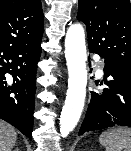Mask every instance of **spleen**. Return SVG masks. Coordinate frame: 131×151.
<instances>
[{
  "mask_svg": "<svg viewBox=\"0 0 131 151\" xmlns=\"http://www.w3.org/2000/svg\"><path fill=\"white\" fill-rule=\"evenodd\" d=\"M99 142L106 151H131V129H108L100 135Z\"/></svg>",
  "mask_w": 131,
  "mask_h": 151,
  "instance_id": "3e777b00",
  "label": "spleen"
}]
</instances>
